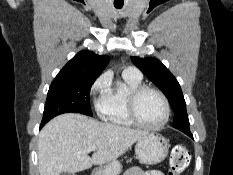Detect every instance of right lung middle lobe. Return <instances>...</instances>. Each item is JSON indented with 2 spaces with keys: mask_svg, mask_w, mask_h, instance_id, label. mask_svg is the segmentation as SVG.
Segmentation results:
<instances>
[{
  "mask_svg": "<svg viewBox=\"0 0 233 175\" xmlns=\"http://www.w3.org/2000/svg\"><path fill=\"white\" fill-rule=\"evenodd\" d=\"M94 81L95 79L53 81L48 91L41 124H46L62 113L92 116L89 96Z\"/></svg>",
  "mask_w": 233,
  "mask_h": 175,
  "instance_id": "right-lung-middle-lobe-1",
  "label": "right lung middle lobe"
}]
</instances>
